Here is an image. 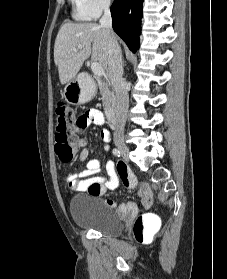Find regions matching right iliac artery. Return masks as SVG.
<instances>
[{
    "instance_id": "1",
    "label": "right iliac artery",
    "mask_w": 227,
    "mask_h": 279,
    "mask_svg": "<svg viewBox=\"0 0 227 279\" xmlns=\"http://www.w3.org/2000/svg\"><path fill=\"white\" fill-rule=\"evenodd\" d=\"M113 154L119 157L120 156V151L118 149L114 148L113 149Z\"/></svg>"
}]
</instances>
